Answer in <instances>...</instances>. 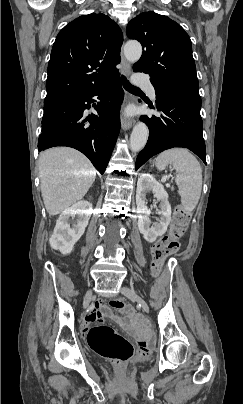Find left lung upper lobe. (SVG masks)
I'll return each instance as SVG.
<instances>
[{
  "label": "left lung upper lobe",
  "mask_w": 243,
  "mask_h": 404,
  "mask_svg": "<svg viewBox=\"0 0 243 404\" xmlns=\"http://www.w3.org/2000/svg\"><path fill=\"white\" fill-rule=\"evenodd\" d=\"M126 33L143 47L133 70L150 75L156 93L199 95L191 40L178 23L155 12H144L128 23Z\"/></svg>",
  "instance_id": "5c2ea615"
}]
</instances>
